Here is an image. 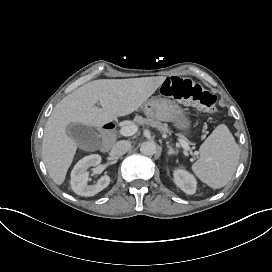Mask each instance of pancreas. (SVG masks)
<instances>
[{"label": "pancreas", "instance_id": "cf45deb5", "mask_svg": "<svg viewBox=\"0 0 272 272\" xmlns=\"http://www.w3.org/2000/svg\"><path fill=\"white\" fill-rule=\"evenodd\" d=\"M134 123L137 126L148 125V126L157 128L159 131L163 133H168L169 135L172 133V131L168 128V125L166 123H161L160 121L154 120L151 118H143L142 116H135Z\"/></svg>", "mask_w": 272, "mask_h": 272}]
</instances>
